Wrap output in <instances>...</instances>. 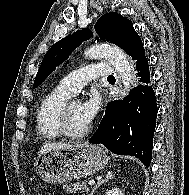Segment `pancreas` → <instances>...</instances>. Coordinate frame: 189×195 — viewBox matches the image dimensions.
<instances>
[{
    "mask_svg": "<svg viewBox=\"0 0 189 195\" xmlns=\"http://www.w3.org/2000/svg\"><path fill=\"white\" fill-rule=\"evenodd\" d=\"M64 187L66 188L67 191H70V192H76L81 189H87L86 183L84 182L82 183L77 182V183H73L70 185H65Z\"/></svg>",
    "mask_w": 189,
    "mask_h": 195,
    "instance_id": "cf45deb5",
    "label": "pancreas"
}]
</instances>
